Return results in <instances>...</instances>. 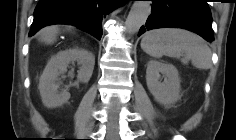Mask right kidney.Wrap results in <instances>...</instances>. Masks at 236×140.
I'll return each instance as SVG.
<instances>
[{"instance_id":"ca27d5eb","label":"right kidney","mask_w":236,"mask_h":140,"mask_svg":"<svg viewBox=\"0 0 236 140\" xmlns=\"http://www.w3.org/2000/svg\"><path fill=\"white\" fill-rule=\"evenodd\" d=\"M77 62L80 65L77 79L87 83L93 73L95 57L92 53L71 49L53 56L46 65L39 80V91L43 104L48 108L58 107L70 99L67 89L59 91V76L64 74L70 63Z\"/></svg>"}]
</instances>
